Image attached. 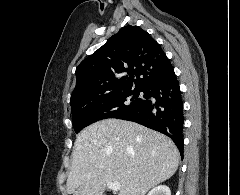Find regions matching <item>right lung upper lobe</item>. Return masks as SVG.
<instances>
[{"mask_svg": "<svg viewBox=\"0 0 240 195\" xmlns=\"http://www.w3.org/2000/svg\"><path fill=\"white\" fill-rule=\"evenodd\" d=\"M172 71L170 60L149 33L125 26L79 64L70 103L133 86L143 91Z\"/></svg>", "mask_w": 240, "mask_h": 195, "instance_id": "cb5924a9", "label": "right lung upper lobe"}]
</instances>
